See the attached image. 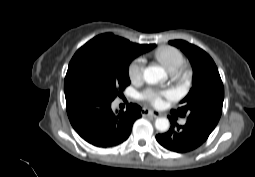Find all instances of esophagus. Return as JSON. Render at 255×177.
Listing matches in <instances>:
<instances>
[{"label": "esophagus", "mask_w": 255, "mask_h": 177, "mask_svg": "<svg viewBox=\"0 0 255 177\" xmlns=\"http://www.w3.org/2000/svg\"><path fill=\"white\" fill-rule=\"evenodd\" d=\"M143 115L145 116H152L154 118L160 117L161 113L158 111L150 110V109H143Z\"/></svg>", "instance_id": "34e87169"}]
</instances>
